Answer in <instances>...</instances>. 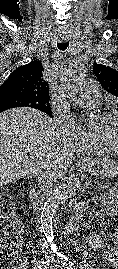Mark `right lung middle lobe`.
Segmentation results:
<instances>
[{
  "instance_id": "right-lung-middle-lobe-1",
  "label": "right lung middle lobe",
  "mask_w": 118,
  "mask_h": 269,
  "mask_svg": "<svg viewBox=\"0 0 118 269\" xmlns=\"http://www.w3.org/2000/svg\"><path fill=\"white\" fill-rule=\"evenodd\" d=\"M14 107H31L52 115L49 103H41L20 94H5L0 98V113Z\"/></svg>"
}]
</instances>
